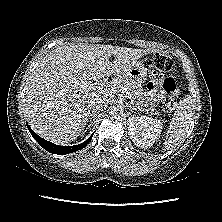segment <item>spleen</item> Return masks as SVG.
Segmentation results:
<instances>
[{
  "label": "spleen",
  "mask_w": 222,
  "mask_h": 222,
  "mask_svg": "<svg viewBox=\"0 0 222 222\" xmlns=\"http://www.w3.org/2000/svg\"><path fill=\"white\" fill-rule=\"evenodd\" d=\"M193 114V99L188 95L180 100L177 111L170 122L165 136L164 150H170L182 143L189 130Z\"/></svg>",
  "instance_id": "obj_1"
}]
</instances>
